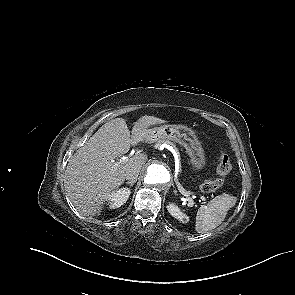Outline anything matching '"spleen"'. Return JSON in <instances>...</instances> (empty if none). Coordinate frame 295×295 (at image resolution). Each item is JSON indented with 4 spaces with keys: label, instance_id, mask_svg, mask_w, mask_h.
<instances>
[{
    "label": "spleen",
    "instance_id": "3e777b00",
    "mask_svg": "<svg viewBox=\"0 0 295 295\" xmlns=\"http://www.w3.org/2000/svg\"><path fill=\"white\" fill-rule=\"evenodd\" d=\"M237 202V197L229 194L216 196L209 203L202 205L196 215L195 230L198 233H205L215 229L225 219L227 212ZM193 203H189L192 206Z\"/></svg>",
    "mask_w": 295,
    "mask_h": 295
}]
</instances>
